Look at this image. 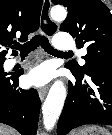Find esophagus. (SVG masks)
<instances>
[{"instance_id":"obj_1","label":"esophagus","mask_w":112,"mask_h":135,"mask_svg":"<svg viewBox=\"0 0 112 135\" xmlns=\"http://www.w3.org/2000/svg\"><path fill=\"white\" fill-rule=\"evenodd\" d=\"M46 2H47V8L44 9ZM50 7H51V1L45 0L43 8H42V12H41V28L47 33L48 36H51L50 34L53 31H55L58 27V25L56 23L52 22V20L50 18V15H49ZM47 91H48L47 87H43L38 90V94H39L41 101L44 100V98L47 94Z\"/></svg>"}]
</instances>
